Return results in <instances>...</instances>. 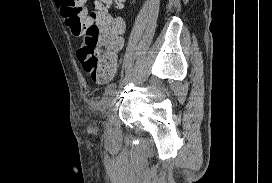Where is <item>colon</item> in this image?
<instances>
[{"label": "colon", "instance_id": "obj_1", "mask_svg": "<svg viewBox=\"0 0 272 183\" xmlns=\"http://www.w3.org/2000/svg\"><path fill=\"white\" fill-rule=\"evenodd\" d=\"M85 1L60 0L63 17L72 33L81 37L78 55L85 71L104 80L117 68L116 52L124 31V22L108 9L122 7L125 0H99L91 10L86 9Z\"/></svg>", "mask_w": 272, "mask_h": 183}]
</instances>
